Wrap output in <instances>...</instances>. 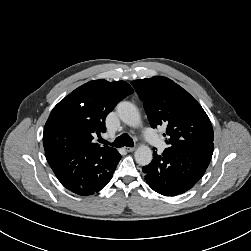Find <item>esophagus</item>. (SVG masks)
I'll use <instances>...</instances> for the list:
<instances>
[{
  "label": "esophagus",
  "mask_w": 251,
  "mask_h": 251,
  "mask_svg": "<svg viewBox=\"0 0 251 251\" xmlns=\"http://www.w3.org/2000/svg\"><path fill=\"white\" fill-rule=\"evenodd\" d=\"M125 150L127 152H133L135 150V147H125Z\"/></svg>",
  "instance_id": "1"
}]
</instances>
